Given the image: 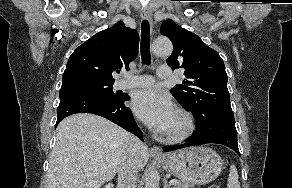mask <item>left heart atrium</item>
Returning a JSON list of instances; mask_svg holds the SVG:
<instances>
[{"label":"left heart atrium","mask_w":292,"mask_h":188,"mask_svg":"<svg viewBox=\"0 0 292 188\" xmlns=\"http://www.w3.org/2000/svg\"><path fill=\"white\" fill-rule=\"evenodd\" d=\"M132 109L139 119L161 133H167L177 114L169 97L153 88L137 92Z\"/></svg>","instance_id":"obj_1"}]
</instances>
